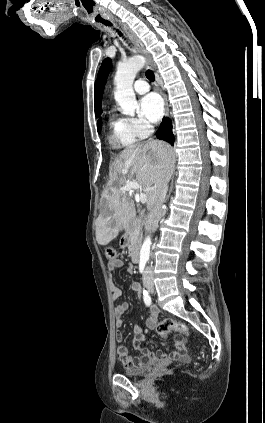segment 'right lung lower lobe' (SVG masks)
<instances>
[{"mask_svg": "<svg viewBox=\"0 0 265 423\" xmlns=\"http://www.w3.org/2000/svg\"><path fill=\"white\" fill-rule=\"evenodd\" d=\"M156 137L160 140H164L171 145L174 144V135L172 133V124L169 118H164L161 122L160 127L156 132Z\"/></svg>", "mask_w": 265, "mask_h": 423, "instance_id": "right-lung-lower-lobe-1", "label": "right lung lower lobe"}]
</instances>
